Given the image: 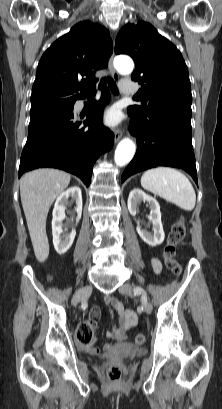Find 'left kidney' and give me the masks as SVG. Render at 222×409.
I'll use <instances>...</instances> for the list:
<instances>
[{
	"label": "left kidney",
	"mask_w": 222,
	"mask_h": 409,
	"mask_svg": "<svg viewBox=\"0 0 222 409\" xmlns=\"http://www.w3.org/2000/svg\"><path fill=\"white\" fill-rule=\"evenodd\" d=\"M142 201H147L150 206L151 212L149 216V221L153 224L154 233L151 234L150 232L143 230L140 227L139 222L137 223V232L145 243H147L150 246H157L161 244L165 238L161 222L160 206L157 200L147 195L142 190L135 188L130 192L128 197L127 202L128 210L132 216H136L138 211V205Z\"/></svg>",
	"instance_id": "obj_1"
}]
</instances>
